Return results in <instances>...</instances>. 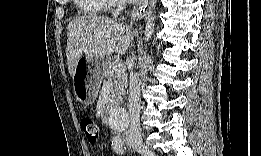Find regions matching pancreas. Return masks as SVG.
I'll return each instance as SVG.
<instances>
[{"instance_id":"cf45deb5","label":"pancreas","mask_w":261,"mask_h":156,"mask_svg":"<svg viewBox=\"0 0 261 156\" xmlns=\"http://www.w3.org/2000/svg\"><path fill=\"white\" fill-rule=\"evenodd\" d=\"M116 61H108L102 70V77L107 78L111 83V92L116 96L125 95V89L128 86L127 74L124 72L117 73L114 70Z\"/></svg>"}]
</instances>
